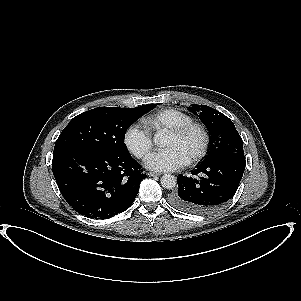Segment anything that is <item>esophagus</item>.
<instances>
[{"label": "esophagus", "mask_w": 301, "mask_h": 301, "mask_svg": "<svg viewBox=\"0 0 301 301\" xmlns=\"http://www.w3.org/2000/svg\"><path fill=\"white\" fill-rule=\"evenodd\" d=\"M147 175L149 177H154V176H160L161 174L160 173H156V172H148Z\"/></svg>", "instance_id": "esophagus-1"}]
</instances>
